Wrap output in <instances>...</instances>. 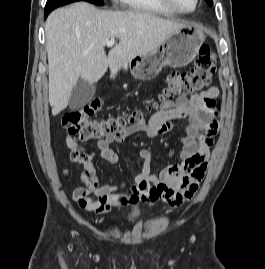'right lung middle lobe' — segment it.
Listing matches in <instances>:
<instances>
[{
	"label": "right lung middle lobe",
	"instance_id": "obj_1",
	"mask_svg": "<svg viewBox=\"0 0 265 269\" xmlns=\"http://www.w3.org/2000/svg\"><path fill=\"white\" fill-rule=\"evenodd\" d=\"M81 1H86V2L93 3L100 6L104 5L103 0H81Z\"/></svg>",
	"mask_w": 265,
	"mask_h": 269
}]
</instances>
